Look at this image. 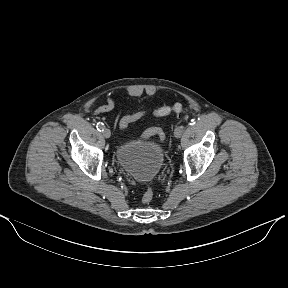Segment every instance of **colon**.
<instances>
[{"mask_svg":"<svg viewBox=\"0 0 288 288\" xmlns=\"http://www.w3.org/2000/svg\"><path fill=\"white\" fill-rule=\"evenodd\" d=\"M172 112L177 113V114H182L186 112V108L183 107L180 103H174L172 105L160 107L154 110L151 114L155 117H163ZM146 115H147V112L145 111H138V112L126 115L120 120V124L122 127L127 128L131 123L141 119L142 117ZM150 136H157L161 141L164 140L165 138V134L163 130L159 127H151L143 133L144 138H147ZM153 197H154L153 190L151 188H148L142 195V202L146 204L150 203Z\"/></svg>","mask_w":288,"mask_h":288,"instance_id":"obj_1","label":"colon"}]
</instances>
